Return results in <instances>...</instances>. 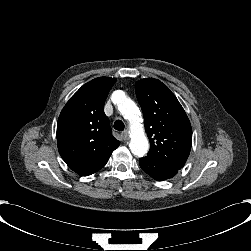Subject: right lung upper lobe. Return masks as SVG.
Wrapping results in <instances>:
<instances>
[{
    "mask_svg": "<svg viewBox=\"0 0 251 251\" xmlns=\"http://www.w3.org/2000/svg\"><path fill=\"white\" fill-rule=\"evenodd\" d=\"M116 79L99 77L84 84L67 102L57 123L58 150L81 176L105 166L120 141L113 137L104 103Z\"/></svg>",
    "mask_w": 251,
    "mask_h": 251,
    "instance_id": "right-lung-upper-lobe-1",
    "label": "right lung upper lobe"
}]
</instances>
